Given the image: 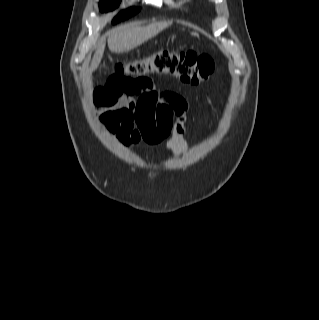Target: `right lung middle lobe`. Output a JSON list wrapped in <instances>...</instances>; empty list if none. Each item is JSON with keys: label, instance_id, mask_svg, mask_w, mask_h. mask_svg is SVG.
<instances>
[{"label": "right lung middle lobe", "instance_id": "1", "mask_svg": "<svg viewBox=\"0 0 319 320\" xmlns=\"http://www.w3.org/2000/svg\"><path fill=\"white\" fill-rule=\"evenodd\" d=\"M120 0H103L100 2V11L107 12L115 9ZM139 11V8H129L128 10L122 11L114 20L113 23H117L121 20L129 18L130 16L136 14Z\"/></svg>", "mask_w": 319, "mask_h": 320}]
</instances>
